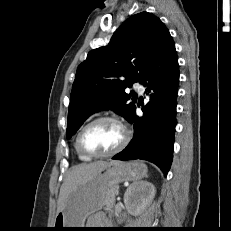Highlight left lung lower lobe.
<instances>
[{"label":"left lung lower lobe","instance_id":"0a47b994","mask_svg":"<svg viewBox=\"0 0 231 231\" xmlns=\"http://www.w3.org/2000/svg\"><path fill=\"white\" fill-rule=\"evenodd\" d=\"M141 83L150 94L143 117L136 116V107L129 119L134 136L128 146L112 159H143L156 164L167 175L173 158L176 120V97L179 65L174 41L166 36L158 54L143 74Z\"/></svg>","mask_w":231,"mask_h":231}]
</instances>
